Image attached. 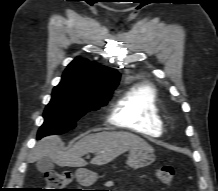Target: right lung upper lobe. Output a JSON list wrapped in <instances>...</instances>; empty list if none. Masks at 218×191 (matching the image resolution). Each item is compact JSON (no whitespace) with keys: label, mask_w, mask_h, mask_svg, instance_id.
<instances>
[{"label":"right lung upper lobe","mask_w":218,"mask_h":191,"mask_svg":"<svg viewBox=\"0 0 218 191\" xmlns=\"http://www.w3.org/2000/svg\"><path fill=\"white\" fill-rule=\"evenodd\" d=\"M119 79L116 70L77 57L68 65L56 87L83 96H111Z\"/></svg>","instance_id":"obj_1"}]
</instances>
